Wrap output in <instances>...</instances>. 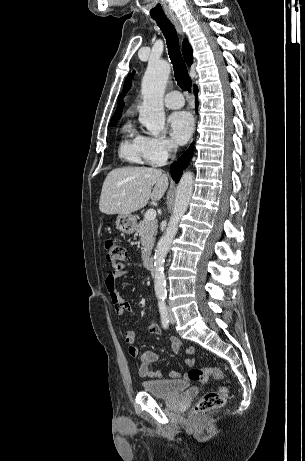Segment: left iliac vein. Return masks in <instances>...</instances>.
Returning <instances> with one entry per match:
<instances>
[{
    "mask_svg": "<svg viewBox=\"0 0 305 461\" xmlns=\"http://www.w3.org/2000/svg\"><path fill=\"white\" fill-rule=\"evenodd\" d=\"M168 311H169V320H170V323H171V324H174V323L176 322L175 316H174L173 312L170 310V308H168Z\"/></svg>",
    "mask_w": 305,
    "mask_h": 461,
    "instance_id": "1",
    "label": "left iliac vein"
}]
</instances>
